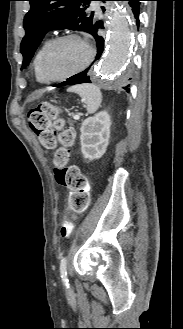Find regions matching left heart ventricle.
Segmentation results:
<instances>
[{"label":"left heart ventricle","mask_w":183,"mask_h":329,"mask_svg":"<svg viewBox=\"0 0 183 329\" xmlns=\"http://www.w3.org/2000/svg\"><path fill=\"white\" fill-rule=\"evenodd\" d=\"M88 57L86 45L77 39L59 43L50 52L47 59V70L51 76H61L81 67Z\"/></svg>","instance_id":"b2bd125f"}]
</instances>
